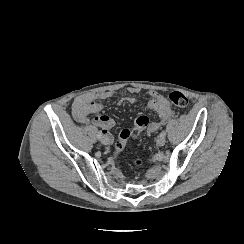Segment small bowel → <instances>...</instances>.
Returning a JSON list of instances; mask_svg holds the SVG:
<instances>
[{"label": "small bowel", "instance_id": "1", "mask_svg": "<svg viewBox=\"0 0 244 244\" xmlns=\"http://www.w3.org/2000/svg\"><path fill=\"white\" fill-rule=\"evenodd\" d=\"M131 93H137V89H130ZM148 96V107L154 110L159 119L150 120V125L146 128L149 134H152L162 128L171 118L174 117V110L167 98L159 91L150 89L146 91ZM113 96L112 91L91 93L78 96L72 103V116L80 124H96L103 129V134L110 135L114 127L113 118L102 113V105L99 101L109 99ZM129 103H134V97H127ZM112 137L110 136V139Z\"/></svg>", "mask_w": 244, "mask_h": 244}]
</instances>
